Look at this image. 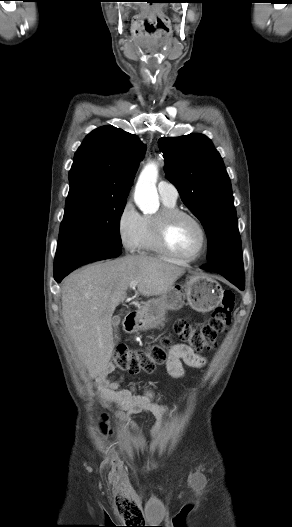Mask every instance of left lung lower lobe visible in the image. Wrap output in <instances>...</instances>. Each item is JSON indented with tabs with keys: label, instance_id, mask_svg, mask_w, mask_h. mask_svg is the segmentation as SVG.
I'll list each match as a JSON object with an SVG mask.
<instances>
[{
	"label": "left lung lower lobe",
	"instance_id": "0a47b994",
	"mask_svg": "<svg viewBox=\"0 0 292 527\" xmlns=\"http://www.w3.org/2000/svg\"><path fill=\"white\" fill-rule=\"evenodd\" d=\"M202 268L224 276L240 290L245 288L242 259L224 258L204 265Z\"/></svg>",
	"mask_w": 292,
	"mask_h": 527
}]
</instances>
